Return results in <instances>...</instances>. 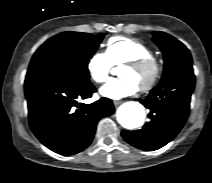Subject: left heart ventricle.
I'll list each match as a JSON object with an SVG mask.
<instances>
[{"label":"left heart ventricle","mask_w":212,"mask_h":183,"mask_svg":"<svg viewBox=\"0 0 212 183\" xmlns=\"http://www.w3.org/2000/svg\"><path fill=\"white\" fill-rule=\"evenodd\" d=\"M122 79H128L134 82L138 87L143 85L150 76L148 71L134 70L129 67H122L119 73Z\"/></svg>","instance_id":"obj_1"}]
</instances>
